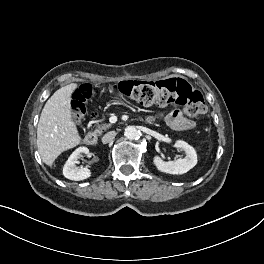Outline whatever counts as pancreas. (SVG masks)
<instances>
[{"label": "pancreas", "mask_w": 264, "mask_h": 264, "mask_svg": "<svg viewBox=\"0 0 264 264\" xmlns=\"http://www.w3.org/2000/svg\"><path fill=\"white\" fill-rule=\"evenodd\" d=\"M110 127H111V124H101V125H97V128L94 131V133L101 134L103 131H105L106 129H108Z\"/></svg>", "instance_id": "pancreas-1"}]
</instances>
